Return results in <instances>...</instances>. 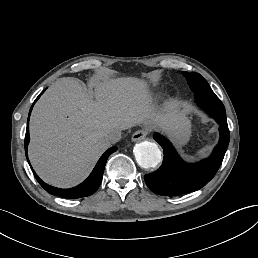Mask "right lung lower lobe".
<instances>
[{
	"label": "right lung lower lobe",
	"instance_id": "98d812e1",
	"mask_svg": "<svg viewBox=\"0 0 258 258\" xmlns=\"http://www.w3.org/2000/svg\"><path fill=\"white\" fill-rule=\"evenodd\" d=\"M44 91H42L41 94ZM41 94L36 98V100L34 101L33 105L39 99ZM33 105L31 106V109H30V112H29V116H30V113L32 111ZM28 143H29V117H28V121H27V130H26V136H25V152H26L27 160H28V156H27V146H28ZM116 150H117V147H115V146L109 148L101 156V158L97 162L95 168L93 169V171L91 172L89 177L83 183H81L80 185H78L76 187H73V188H70V189H60V188L52 187V186L44 183L36 175V173L34 172L32 167H31V169H32V171L34 173V176L36 177L37 181L51 195L59 196V197L66 198V199L82 198V197H86V196L92 195L99 188V186L101 184V181H102V177H103V172H104V169H105L106 161H107L109 155L112 154L113 152H115Z\"/></svg>",
	"mask_w": 258,
	"mask_h": 258
}]
</instances>
